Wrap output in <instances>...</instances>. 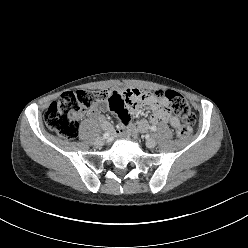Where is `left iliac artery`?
Masks as SVG:
<instances>
[{"label":"left iliac artery","instance_id":"44dca946","mask_svg":"<svg viewBox=\"0 0 248 248\" xmlns=\"http://www.w3.org/2000/svg\"><path fill=\"white\" fill-rule=\"evenodd\" d=\"M151 130L156 131L157 130L156 126H152Z\"/></svg>","mask_w":248,"mask_h":248}]
</instances>
